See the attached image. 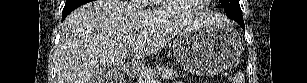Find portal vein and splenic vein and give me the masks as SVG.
Returning <instances> with one entry per match:
<instances>
[{"label": "portal vein and splenic vein", "instance_id": "18ae733b", "mask_svg": "<svg viewBox=\"0 0 307 83\" xmlns=\"http://www.w3.org/2000/svg\"><path fill=\"white\" fill-rule=\"evenodd\" d=\"M131 41V39H130ZM155 81L153 80V78L151 76H148L147 79H145V83H154Z\"/></svg>", "mask_w": 307, "mask_h": 83}]
</instances>
